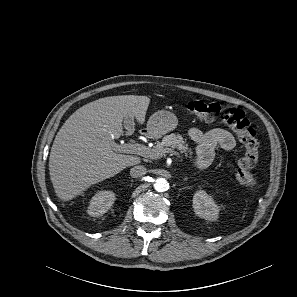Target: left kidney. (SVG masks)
<instances>
[{
	"label": "left kidney",
	"mask_w": 297,
	"mask_h": 297,
	"mask_svg": "<svg viewBox=\"0 0 297 297\" xmlns=\"http://www.w3.org/2000/svg\"><path fill=\"white\" fill-rule=\"evenodd\" d=\"M193 209L197 216L209 221L217 220L220 211L213 197L204 190L194 194Z\"/></svg>",
	"instance_id": "left-kidney-1"
}]
</instances>
